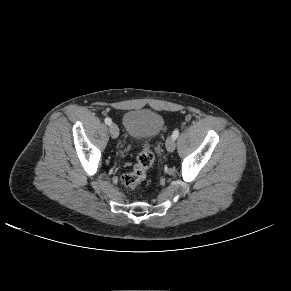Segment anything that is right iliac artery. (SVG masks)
<instances>
[{"instance_id": "right-iliac-artery-1", "label": "right iliac artery", "mask_w": 291, "mask_h": 291, "mask_svg": "<svg viewBox=\"0 0 291 291\" xmlns=\"http://www.w3.org/2000/svg\"><path fill=\"white\" fill-rule=\"evenodd\" d=\"M105 123L107 124V125H111V123H112V120L110 119V118H105Z\"/></svg>"}]
</instances>
